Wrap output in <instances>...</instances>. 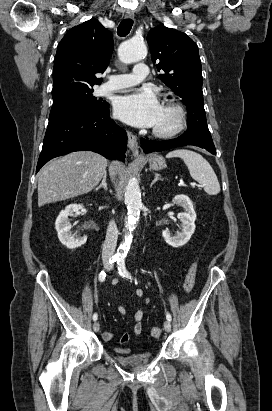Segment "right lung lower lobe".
<instances>
[{
	"instance_id": "1",
	"label": "right lung lower lobe",
	"mask_w": 272,
	"mask_h": 411,
	"mask_svg": "<svg viewBox=\"0 0 272 411\" xmlns=\"http://www.w3.org/2000/svg\"><path fill=\"white\" fill-rule=\"evenodd\" d=\"M127 134L109 115V104L49 121L36 173L54 157L88 150L108 159L124 160Z\"/></svg>"
}]
</instances>
